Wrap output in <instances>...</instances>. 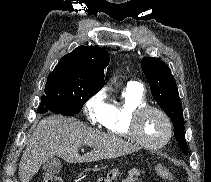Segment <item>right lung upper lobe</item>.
Here are the masks:
<instances>
[{
	"label": "right lung upper lobe",
	"mask_w": 211,
	"mask_h": 182,
	"mask_svg": "<svg viewBox=\"0 0 211 182\" xmlns=\"http://www.w3.org/2000/svg\"><path fill=\"white\" fill-rule=\"evenodd\" d=\"M110 58L105 49L93 46H79L63 56L51 73H62L78 81L103 87L104 68Z\"/></svg>",
	"instance_id": "right-lung-upper-lobe-1"
}]
</instances>
